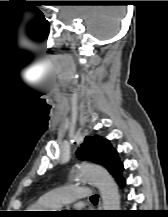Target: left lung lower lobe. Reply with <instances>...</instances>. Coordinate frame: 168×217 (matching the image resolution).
<instances>
[{
    "instance_id": "0a47b994",
    "label": "left lung lower lobe",
    "mask_w": 168,
    "mask_h": 217,
    "mask_svg": "<svg viewBox=\"0 0 168 217\" xmlns=\"http://www.w3.org/2000/svg\"><path fill=\"white\" fill-rule=\"evenodd\" d=\"M117 181L120 187H124L126 184V180L122 177V175L117 178Z\"/></svg>"
}]
</instances>
